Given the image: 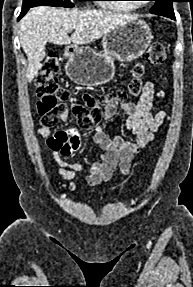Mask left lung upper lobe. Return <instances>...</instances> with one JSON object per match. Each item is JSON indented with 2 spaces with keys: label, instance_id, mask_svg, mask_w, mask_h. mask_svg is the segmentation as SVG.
<instances>
[{
  "label": "left lung upper lobe",
  "instance_id": "left-lung-upper-lobe-1",
  "mask_svg": "<svg viewBox=\"0 0 193 287\" xmlns=\"http://www.w3.org/2000/svg\"><path fill=\"white\" fill-rule=\"evenodd\" d=\"M153 1H155L156 3L150 9V13L162 15L169 18L174 16L172 3L175 0H153Z\"/></svg>",
  "mask_w": 193,
  "mask_h": 287
}]
</instances>
